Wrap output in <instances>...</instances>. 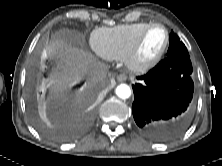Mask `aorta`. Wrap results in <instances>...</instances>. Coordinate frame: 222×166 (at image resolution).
<instances>
[{
    "mask_svg": "<svg viewBox=\"0 0 222 166\" xmlns=\"http://www.w3.org/2000/svg\"><path fill=\"white\" fill-rule=\"evenodd\" d=\"M116 95L121 99H127L131 96V89L127 84H120L116 88Z\"/></svg>",
    "mask_w": 222,
    "mask_h": 166,
    "instance_id": "1",
    "label": "aorta"
}]
</instances>
